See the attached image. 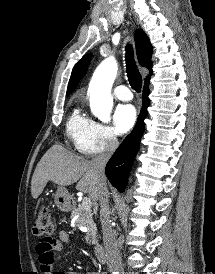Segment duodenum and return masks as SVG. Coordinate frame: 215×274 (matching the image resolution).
<instances>
[{"instance_id":"1","label":"duodenum","mask_w":215,"mask_h":274,"mask_svg":"<svg viewBox=\"0 0 215 274\" xmlns=\"http://www.w3.org/2000/svg\"><path fill=\"white\" fill-rule=\"evenodd\" d=\"M94 251H95V256L97 260L101 263H105L106 262L105 248L101 244H96Z\"/></svg>"}]
</instances>
